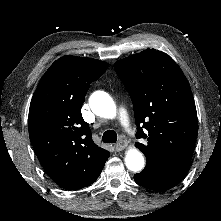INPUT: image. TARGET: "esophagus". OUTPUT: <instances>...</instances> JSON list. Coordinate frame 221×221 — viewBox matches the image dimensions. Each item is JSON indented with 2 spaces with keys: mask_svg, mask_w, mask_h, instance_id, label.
<instances>
[{
  "mask_svg": "<svg viewBox=\"0 0 221 221\" xmlns=\"http://www.w3.org/2000/svg\"><path fill=\"white\" fill-rule=\"evenodd\" d=\"M127 147V142L124 140H120L116 145H115V150L117 152L122 151Z\"/></svg>",
  "mask_w": 221,
  "mask_h": 221,
  "instance_id": "34e87169",
  "label": "esophagus"
}]
</instances>
